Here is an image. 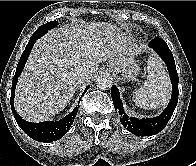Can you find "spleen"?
<instances>
[{
	"instance_id": "1",
	"label": "spleen",
	"mask_w": 196,
	"mask_h": 166,
	"mask_svg": "<svg viewBox=\"0 0 196 166\" xmlns=\"http://www.w3.org/2000/svg\"><path fill=\"white\" fill-rule=\"evenodd\" d=\"M148 76L144 84L134 92L132 100L143 109H156L167 104L171 94L170 81L162 62L149 57Z\"/></svg>"
}]
</instances>
